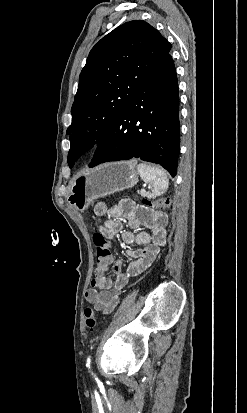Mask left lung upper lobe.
<instances>
[{"label": "left lung upper lobe", "mask_w": 247, "mask_h": 413, "mask_svg": "<svg viewBox=\"0 0 247 413\" xmlns=\"http://www.w3.org/2000/svg\"><path fill=\"white\" fill-rule=\"evenodd\" d=\"M172 45L142 20L117 27L90 51L79 77L67 129L71 148L68 164L99 145L141 84Z\"/></svg>", "instance_id": "left-lung-upper-lobe-1"}]
</instances>
